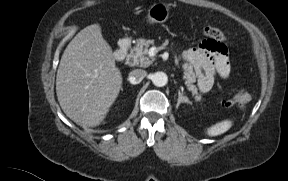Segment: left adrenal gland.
Here are the masks:
<instances>
[{
  "label": "left adrenal gland",
  "mask_w": 288,
  "mask_h": 181,
  "mask_svg": "<svg viewBox=\"0 0 288 181\" xmlns=\"http://www.w3.org/2000/svg\"><path fill=\"white\" fill-rule=\"evenodd\" d=\"M180 103H189L191 104V102L189 101V99L185 96H183L180 92L178 93V105Z\"/></svg>",
  "instance_id": "a2214340"
}]
</instances>
